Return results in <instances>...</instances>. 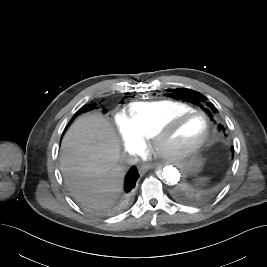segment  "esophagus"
Listing matches in <instances>:
<instances>
[{"instance_id":"34e87169","label":"esophagus","mask_w":267,"mask_h":267,"mask_svg":"<svg viewBox=\"0 0 267 267\" xmlns=\"http://www.w3.org/2000/svg\"><path fill=\"white\" fill-rule=\"evenodd\" d=\"M153 168V164H146L140 167L139 172L144 174L147 170Z\"/></svg>"}]
</instances>
